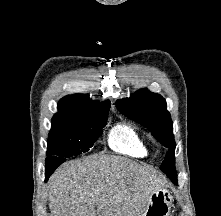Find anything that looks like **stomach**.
<instances>
[{
    "mask_svg": "<svg viewBox=\"0 0 221 216\" xmlns=\"http://www.w3.org/2000/svg\"><path fill=\"white\" fill-rule=\"evenodd\" d=\"M173 197L167 189L154 191L141 216H169Z\"/></svg>",
    "mask_w": 221,
    "mask_h": 216,
    "instance_id": "obj_1",
    "label": "stomach"
}]
</instances>
